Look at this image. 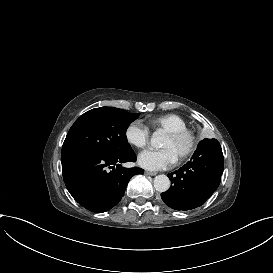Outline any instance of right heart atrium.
I'll use <instances>...</instances> for the list:
<instances>
[{
    "label": "right heart atrium",
    "mask_w": 273,
    "mask_h": 273,
    "mask_svg": "<svg viewBox=\"0 0 273 273\" xmlns=\"http://www.w3.org/2000/svg\"><path fill=\"white\" fill-rule=\"evenodd\" d=\"M125 137L130 144L142 148L148 144L149 130L140 122L134 121L127 126Z\"/></svg>",
    "instance_id": "right-heart-atrium-1"
}]
</instances>
